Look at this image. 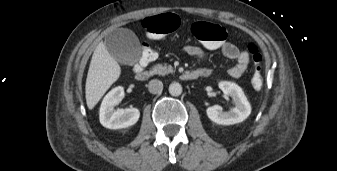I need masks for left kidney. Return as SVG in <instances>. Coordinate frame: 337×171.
Returning a JSON list of instances; mask_svg holds the SVG:
<instances>
[{
	"label": "left kidney",
	"instance_id": "left-kidney-1",
	"mask_svg": "<svg viewBox=\"0 0 337 171\" xmlns=\"http://www.w3.org/2000/svg\"><path fill=\"white\" fill-rule=\"evenodd\" d=\"M219 88L233 99L235 107L227 112H224L219 105L208 107L206 110L208 118L221 125L244 121L251 113V106L241 87L235 83L223 81L219 83Z\"/></svg>",
	"mask_w": 337,
	"mask_h": 171
}]
</instances>
